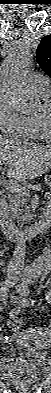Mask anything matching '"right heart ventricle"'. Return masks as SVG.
I'll return each mask as SVG.
<instances>
[{
    "label": "right heart ventricle",
    "instance_id": "1",
    "mask_svg": "<svg viewBox=\"0 0 51 393\" xmlns=\"http://www.w3.org/2000/svg\"><path fill=\"white\" fill-rule=\"evenodd\" d=\"M49 93L50 92L45 93L38 91L40 98L43 100H47L49 98ZM24 138L32 140L45 139V134L38 123L37 115L24 117Z\"/></svg>",
    "mask_w": 51,
    "mask_h": 393
}]
</instances>
